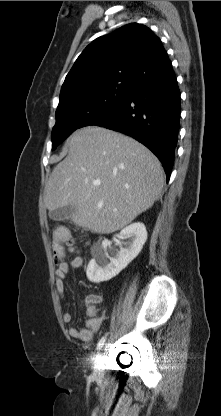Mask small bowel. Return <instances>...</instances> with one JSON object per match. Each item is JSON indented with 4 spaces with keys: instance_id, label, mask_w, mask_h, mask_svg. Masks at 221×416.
<instances>
[{
    "instance_id": "small-bowel-1",
    "label": "small bowel",
    "mask_w": 221,
    "mask_h": 416,
    "mask_svg": "<svg viewBox=\"0 0 221 416\" xmlns=\"http://www.w3.org/2000/svg\"><path fill=\"white\" fill-rule=\"evenodd\" d=\"M83 262L84 261L81 256H76L69 262L62 261L58 264L55 271V286L61 299H64L65 296V279L69 271L71 269L81 268L83 266ZM99 299V296H94L93 298L88 299V319L84 327L77 328L73 325L69 326L68 333L72 338L81 340L85 343L92 341L94 334L98 332L103 321V317L97 314V309L94 305V300L98 301ZM62 319L65 324H70L72 321L71 313L65 311L62 315Z\"/></svg>"
}]
</instances>
